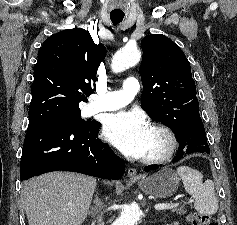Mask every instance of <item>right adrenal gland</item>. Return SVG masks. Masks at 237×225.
<instances>
[{
    "label": "right adrenal gland",
    "mask_w": 237,
    "mask_h": 225,
    "mask_svg": "<svg viewBox=\"0 0 237 225\" xmlns=\"http://www.w3.org/2000/svg\"><path fill=\"white\" fill-rule=\"evenodd\" d=\"M94 203L96 204V206H92L90 208V210L88 211V214L90 215H95L98 211V207L100 206L101 202L98 200V198L96 197V200L94 201Z\"/></svg>",
    "instance_id": "right-adrenal-gland-1"
}]
</instances>
